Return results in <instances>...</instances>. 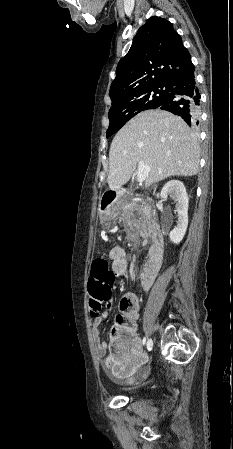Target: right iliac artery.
Segmentation results:
<instances>
[{
	"mask_svg": "<svg viewBox=\"0 0 233 449\" xmlns=\"http://www.w3.org/2000/svg\"><path fill=\"white\" fill-rule=\"evenodd\" d=\"M143 341H144V343H145L146 338H144ZM152 346H153V343H152V342H147V349H148V351H151Z\"/></svg>",
	"mask_w": 233,
	"mask_h": 449,
	"instance_id": "82829eb1",
	"label": "right iliac artery"
}]
</instances>
